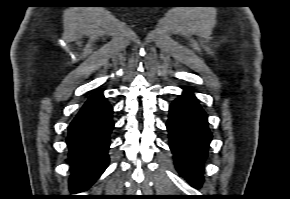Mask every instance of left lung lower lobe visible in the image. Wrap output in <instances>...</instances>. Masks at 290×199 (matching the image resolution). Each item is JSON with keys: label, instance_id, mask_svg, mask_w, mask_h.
Here are the masks:
<instances>
[{"label": "left lung lower lobe", "instance_id": "obj_1", "mask_svg": "<svg viewBox=\"0 0 290 199\" xmlns=\"http://www.w3.org/2000/svg\"><path fill=\"white\" fill-rule=\"evenodd\" d=\"M167 129L178 171L190 183L200 187L202 163L212 135L207 115L191 91L185 89L183 95L171 104Z\"/></svg>", "mask_w": 290, "mask_h": 199}]
</instances>
